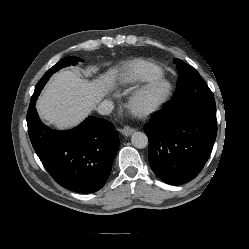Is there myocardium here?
Returning <instances> with one entry per match:
<instances>
[{
	"instance_id": "myocardium-1",
	"label": "myocardium",
	"mask_w": 249,
	"mask_h": 249,
	"mask_svg": "<svg viewBox=\"0 0 249 249\" xmlns=\"http://www.w3.org/2000/svg\"><path fill=\"white\" fill-rule=\"evenodd\" d=\"M171 84L165 78L157 77L138 88L129 99L130 108L137 114H147L160 107L169 97Z\"/></svg>"
}]
</instances>
